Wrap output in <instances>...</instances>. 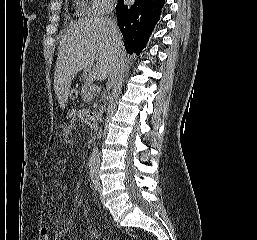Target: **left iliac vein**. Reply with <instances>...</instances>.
Segmentation results:
<instances>
[{
  "mask_svg": "<svg viewBox=\"0 0 257 240\" xmlns=\"http://www.w3.org/2000/svg\"><path fill=\"white\" fill-rule=\"evenodd\" d=\"M98 190H99V192L101 193V191H102V186H101L100 183L98 184ZM101 199H102V197H101Z\"/></svg>",
  "mask_w": 257,
  "mask_h": 240,
  "instance_id": "1",
  "label": "left iliac vein"
}]
</instances>
